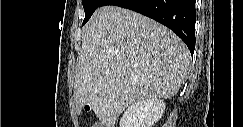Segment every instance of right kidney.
I'll return each mask as SVG.
<instances>
[{
  "instance_id": "right-kidney-1",
  "label": "right kidney",
  "mask_w": 243,
  "mask_h": 127,
  "mask_svg": "<svg viewBox=\"0 0 243 127\" xmlns=\"http://www.w3.org/2000/svg\"><path fill=\"white\" fill-rule=\"evenodd\" d=\"M165 102L152 98L131 104L120 120V127H152L163 115Z\"/></svg>"
}]
</instances>
